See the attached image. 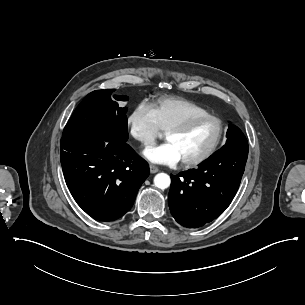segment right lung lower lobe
<instances>
[{"label":"right lung lower lobe","instance_id":"1","mask_svg":"<svg viewBox=\"0 0 305 305\" xmlns=\"http://www.w3.org/2000/svg\"><path fill=\"white\" fill-rule=\"evenodd\" d=\"M60 149L66 184L86 213L113 221L131 209L149 166L126 142L79 135L62 138Z\"/></svg>","mask_w":305,"mask_h":305}]
</instances>
